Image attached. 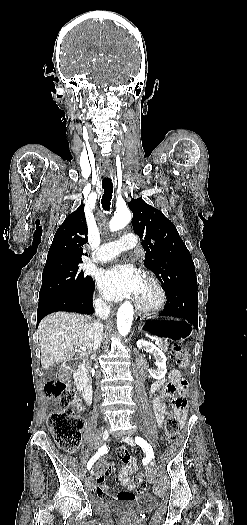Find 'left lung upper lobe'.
<instances>
[{
	"label": "left lung upper lobe",
	"instance_id": "1",
	"mask_svg": "<svg viewBox=\"0 0 247 525\" xmlns=\"http://www.w3.org/2000/svg\"><path fill=\"white\" fill-rule=\"evenodd\" d=\"M128 205L133 212L134 232L144 238V264L155 273L166 293L197 291L192 256L175 225L142 198L132 199Z\"/></svg>",
	"mask_w": 247,
	"mask_h": 525
}]
</instances>
